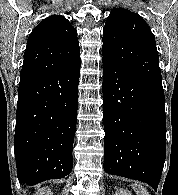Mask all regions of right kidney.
Returning a JSON list of instances; mask_svg holds the SVG:
<instances>
[{
    "mask_svg": "<svg viewBox=\"0 0 178 195\" xmlns=\"http://www.w3.org/2000/svg\"><path fill=\"white\" fill-rule=\"evenodd\" d=\"M36 195H53V193L49 188H41Z\"/></svg>",
    "mask_w": 178,
    "mask_h": 195,
    "instance_id": "right-kidney-1",
    "label": "right kidney"
}]
</instances>
